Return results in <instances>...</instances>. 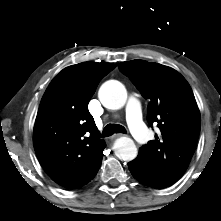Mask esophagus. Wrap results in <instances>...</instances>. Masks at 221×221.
<instances>
[{
    "mask_svg": "<svg viewBox=\"0 0 221 221\" xmlns=\"http://www.w3.org/2000/svg\"><path fill=\"white\" fill-rule=\"evenodd\" d=\"M122 136H124V135L123 134H116L114 137L118 138V137H122Z\"/></svg>",
    "mask_w": 221,
    "mask_h": 221,
    "instance_id": "esophagus-1",
    "label": "esophagus"
}]
</instances>
